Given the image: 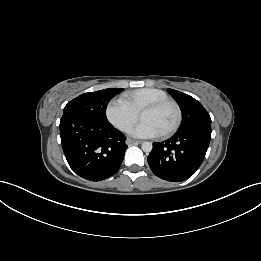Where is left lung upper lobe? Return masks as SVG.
<instances>
[{"label":"left lung upper lobe","mask_w":261,"mask_h":261,"mask_svg":"<svg viewBox=\"0 0 261 261\" xmlns=\"http://www.w3.org/2000/svg\"><path fill=\"white\" fill-rule=\"evenodd\" d=\"M168 92L178 102L182 111L183 120L179 130L201 124L211 125L210 115L199 101L177 90L168 89Z\"/></svg>","instance_id":"1"}]
</instances>
